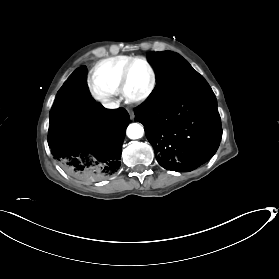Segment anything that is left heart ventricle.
Masks as SVG:
<instances>
[{
	"label": "left heart ventricle",
	"instance_id": "left-heart-ventricle-1",
	"mask_svg": "<svg viewBox=\"0 0 279 279\" xmlns=\"http://www.w3.org/2000/svg\"><path fill=\"white\" fill-rule=\"evenodd\" d=\"M151 75L142 62H135L129 72L127 89L130 95L139 96L143 94L149 87Z\"/></svg>",
	"mask_w": 279,
	"mask_h": 279
}]
</instances>
